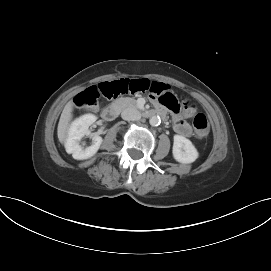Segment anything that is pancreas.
I'll list each match as a JSON object with an SVG mask.
<instances>
[{"label": "pancreas", "mask_w": 271, "mask_h": 271, "mask_svg": "<svg viewBox=\"0 0 271 271\" xmlns=\"http://www.w3.org/2000/svg\"><path fill=\"white\" fill-rule=\"evenodd\" d=\"M116 104L120 105L122 108H126L128 106H135L136 100L132 98H120L115 101Z\"/></svg>", "instance_id": "1"}]
</instances>
